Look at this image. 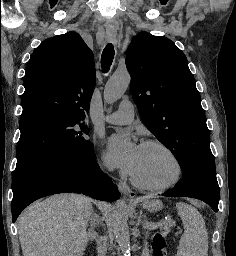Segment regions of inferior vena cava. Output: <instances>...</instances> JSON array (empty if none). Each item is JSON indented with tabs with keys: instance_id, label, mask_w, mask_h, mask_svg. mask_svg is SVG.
Masks as SVG:
<instances>
[{
	"instance_id": "1",
	"label": "inferior vena cava",
	"mask_w": 236,
	"mask_h": 256,
	"mask_svg": "<svg viewBox=\"0 0 236 256\" xmlns=\"http://www.w3.org/2000/svg\"><path fill=\"white\" fill-rule=\"evenodd\" d=\"M97 254L98 256H106V248L99 240H97Z\"/></svg>"
}]
</instances>
